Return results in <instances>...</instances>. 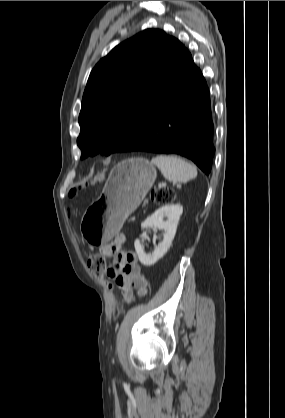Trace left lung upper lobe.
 <instances>
[{
    "instance_id": "1",
    "label": "left lung upper lobe",
    "mask_w": 285,
    "mask_h": 418,
    "mask_svg": "<svg viewBox=\"0 0 285 418\" xmlns=\"http://www.w3.org/2000/svg\"><path fill=\"white\" fill-rule=\"evenodd\" d=\"M185 47L161 30L120 43L90 73L79 115L81 159L124 152L176 71Z\"/></svg>"
}]
</instances>
